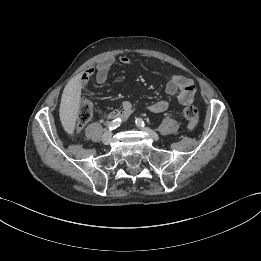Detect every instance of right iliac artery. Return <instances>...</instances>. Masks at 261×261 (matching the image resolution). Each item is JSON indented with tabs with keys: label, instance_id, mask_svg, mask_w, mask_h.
Returning <instances> with one entry per match:
<instances>
[{
	"label": "right iliac artery",
	"instance_id": "1",
	"mask_svg": "<svg viewBox=\"0 0 261 261\" xmlns=\"http://www.w3.org/2000/svg\"><path fill=\"white\" fill-rule=\"evenodd\" d=\"M121 124V119H115L113 121H111L110 123H108L107 128L109 130H113L116 129L117 127H119Z\"/></svg>",
	"mask_w": 261,
	"mask_h": 261
}]
</instances>
